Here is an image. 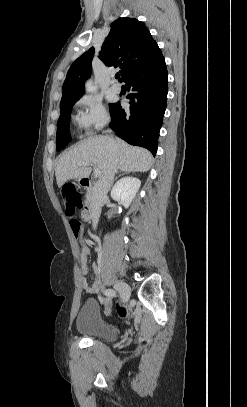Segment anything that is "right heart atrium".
<instances>
[{"mask_svg":"<svg viewBox=\"0 0 247 407\" xmlns=\"http://www.w3.org/2000/svg\"><path fill=\"white\" fill-rule=\"evenodd\" d=\"M75 121L82 132L90 135L109 122V114L98 97L86 95L76 102Z\"/></svg>","mask_w":247,"mask_h":407,"instance_id":"1","label":"right heart atrium"}]
</instances>
